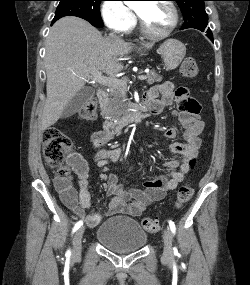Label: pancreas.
<instances>
[{"label": "pancreas", "instance_id": "obj_1", "mask_svg": "<svg viewBox=\"0 0 250 285\" xmlns=\"http://www.w3.org/2000/svg\"><path fill=\"white\" fill-rule=\"evenodd\" d=\"M147 84L151 85L162 81V76L155 71L146 74ZM126 86L110 87L109 96L101 105L102 113L110 118L117 119L129 113L130 105L126 98Z\"/></svg>", "mask_w": 250, "mask_h": 285}]
</instances>
